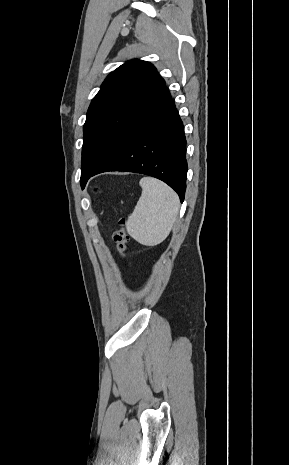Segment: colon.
<instances>
[{
	"label": "colon",
	"mask_w": 289,
	"mask_h": 465,
	"mask_svg": "<svg viewBox=\"0 0 289 465\" xmlns=\"http://www.w3.org/2000/svg\"><path fill=\"white\" fill-rule=\"evenodd\" d=\"M118 224H119V228L113 232L112 239L119 253V256L122 259H125L127 257L128 244L130 241V237L126 231V226H127L126 218L121 217L119 219Z\"/></svg>",
	"instance_id": "5ec220e1"
}]
</instances>
